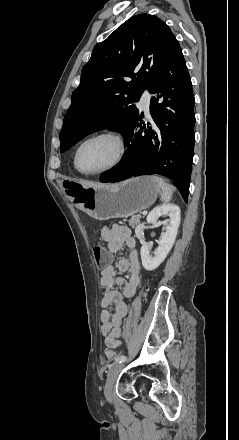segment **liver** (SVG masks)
Listing matches in <instances>:
<instances>
[{"instance_id": "6515ba94", "label": "liver", "mask_w": 239, "mask_h": 440, "mask_svg": "<svg viewBox=\"0 0 239 440\" xmlns=\"http://www.w3.org/2000/svg\"><path fill=\"white\" fill-rule=\"evenodd\" d=\"M77 184H83V186H92V188H101V186H103V184H96V186H94V184H92V182H86V180H79V182H77Z\"/></svg>"}]
</instances>
